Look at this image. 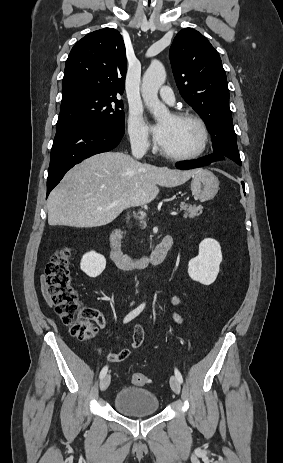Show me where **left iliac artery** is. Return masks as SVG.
Wrapping results in <instances>:
<instances>
[{"label":"left iliac artery","mask_w":283,"mask_h":463,"mask_svg":"<svg viewBox=\"0 0 283 463\" xmlns=\"http://www.w3.org/2000/svg\"><path fill=\"white\" fill-rule=\"evenodd\" d=\"M175 376H176V378L178 379V381H179L180 383L183 382L182 375H181V373L179 372L178 369H175Z\"/></svg>","instance_id":"obj_1"}]
</instances>
